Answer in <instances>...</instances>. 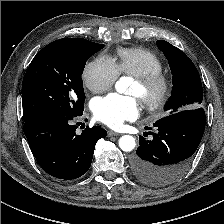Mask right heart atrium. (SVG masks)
Wrapping results in <instances>:
<instances>
[{"mask_svg":"<svg viewBox=\"0 0 224 224\" xmlns=\"http://www.w3.org/2000/svg\"><path fill=\"white\" fill-rule=\"evenodd\" d=\"M118 75L114 61L108 57L99 56L85 65L82 79L92 93L98 94L109 90Z\"/></svg>","mask_w":224,"mask_h":224,"instance_id":"d8ad5b80","label":"right heart atrium"}]
</instances>
